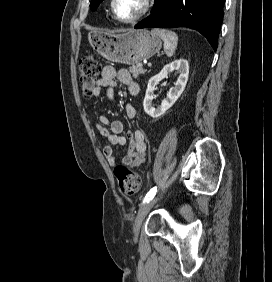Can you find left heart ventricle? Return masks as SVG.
Returning <instances> with one entry per match:
<instances>
[{
    "label": "left heart ventricle",
    "instance_id": "1",
    "mask_svg": "<svg viewBox=\"0 0 272 282\" xmlns=\"http://www.w3.org/2000/svg\"><path fill=\"white\" fill-rule=\"evenodd\" d=\"M144 8V0H117L116 13L122 19H129L137 15Z\"/></svg>",
    "mask_w": 272,
    "mask_h": 282
}]
</instances>
